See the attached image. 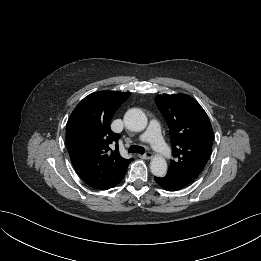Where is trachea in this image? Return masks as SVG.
Returning a JSON list of instances; mask_svg holds the SVG:
<instances>
[{
  "instance_id": "obj_1",
  "label": "trachea",
  "mask_w": 261,
  "mask_h": 261,
  "mask_svg": "<svg viewBox=\"0 0 261 261\" xmlns=\"http://www.w3.org/2000/svg\"><path fill=\"white\" fill-rule=\"evenodd\" d=\"M129 153H139V154H144L145 150L143 147L138 146V145H131L128 149Z\"/></svg>"
}]
</instances>
